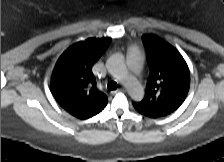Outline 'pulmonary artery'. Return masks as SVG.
<instances>
[{
	"instance_id": "pulmonary-artery-1",
	"label": "pulmonary artery",
	"mask_w": 224,
	"mask_h": 162,
	"mask_svg": "<svg viewBox=\"0 0 224 162\" xmlns=\"http://www.w3.org/2000/svg\"><path fill=\"white\" fill-rule=\"evenodd\" d=\"M128 67H129V70L132 73H139L140 72V62L134 54L129 55Z\"/></svg>"
}]
</instances>
